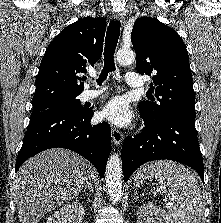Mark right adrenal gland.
<instances>
[{"label": "right adrenal gland", "instance_id": "1", "mask_svg": "<svg viewBox=\"0 0 221 223\" xmlns=\"http://www.w3.org/2000/svg\"><path fill=\"white\" fill-rule=\"evenodd\" d=\"M89 189L90 192H93V187L91 183V178L88 179L87 184L84 186L83 192H86V190Z\"/></svg>", "mask_w": 221, "mask_h": 223}]
</instances>
